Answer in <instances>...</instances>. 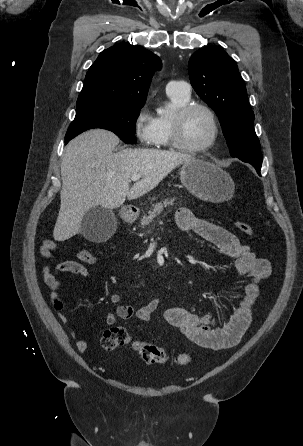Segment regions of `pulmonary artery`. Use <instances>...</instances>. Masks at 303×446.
I'll list each match as a JSON object with an SVG mask.
<instances>
[{"label": "pulmonary artery", "instance_id": "1", "mask_svg": "<svg viewBox=\"0 0 303 446\" xmlns=\"http://www.w3.org/2000/svg\"><path fill=\"white\" fill-rule=\"evenodd\" d=\"M167 92H179L185 95L190 94V86L184 81H170L166 87Z\"/></svg>", "mask_w": 303, "mask_h": 446}]
</instances>
